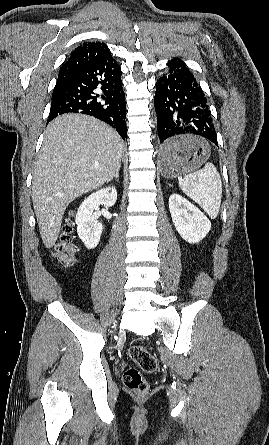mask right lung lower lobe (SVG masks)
Segmentation results:
<instances>
[{
  "instance_id": "1",
  "label": "right lung lower lobe",
  "mask_w": 269,
  "mask_h": 445,
  "mask_svg": "<svg viewBox=\"0 0 269 445\" xmlns=\"http://www.w3.org/2000/svg\"><path fill=\"white\" fill-rule=\"evenodd\" d=\"M47 123L64 113L94 116L116 129L126 139V102L121 68L111 57L78 70L56 85Z\"/></svg>"
}]
</instances>
